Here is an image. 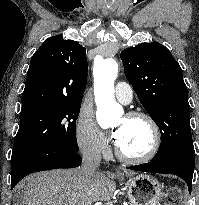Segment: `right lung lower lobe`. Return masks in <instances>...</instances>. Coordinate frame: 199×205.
Wrapping results in <instances>:
<instances>
[{
    "label": "right lung lower lobe",
    "instance_id": "obj_1",
    "mask_svg": "<svg viewBox=\"0 0 199 205\" xmlns=\"http://www.w3.org/2000/svg\"><path fill=\"white\" fill-rule=\"evenodd\" d=\"M81 163L80 155L61 147H49L33 152L12 161L11 189L30 173L57 168H74Z\"/></svg>",
    "mask_w": 199,
    "mask_h": 205
}]
</instances>
